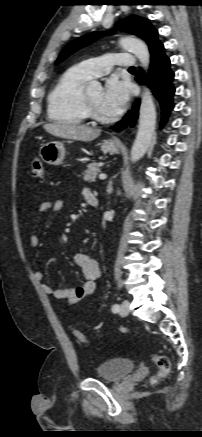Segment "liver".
<instances>
[{"mask_svg": "<svg viewBox=\"0 0 202 437\" xmlns=\"http://www.w3.org/2000/svg\"><path fill=\"white\" fill-rule=\"evenodd\" d=\"M43 128L53 136L84 142L92 141L101 134L99 129L67 122L47 123Z\"/></svg>", "mask_w": 202, "mask_h": 437, "instance_id": "obj_1", "label": "liver"}]
</instances>
